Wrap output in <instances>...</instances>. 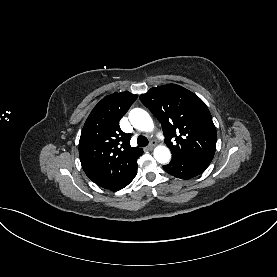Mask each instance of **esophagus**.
<instances>
[{
  "label": "esophagus",
  "mask_w": 277,
  "mask_h": 277,
  "mask_svg": "<svg viewBox=\"0 0 277 277\" xmlns=\"http://www.w3.org/2000/svg\"><path fill=\"white\" fill-rule=\"evenodd\" d=\"M156 143L154 142H151L149 145H148V149L149 150H152L154 147H155Z\"/></svg>",
  "instance_id": "1"
}]
</instances>
